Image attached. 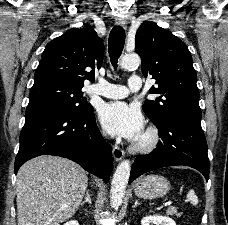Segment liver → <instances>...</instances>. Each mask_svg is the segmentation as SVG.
Instances as JSON below:
<instances>
[{"label":"liver","mask_w":228,"mask_h":225,"mask_svg":"<svg viewBox=\"0 0 228 225\" xmlns=\"http://www.w3.org/2000/svg\"><path fill=\"white\" fill-rule=\"evenodd\" d=\"M88 187L79 165L42 155L27 161L17 173L18 225H60L76 213Z\"/></svg>","instance_id":"1"}]
</instances>
